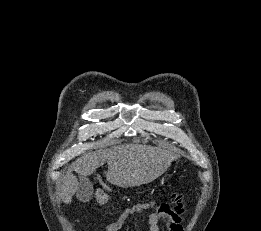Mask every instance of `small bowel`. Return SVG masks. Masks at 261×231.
<instances>
[{
  "instance_id": "c3829d8e",
  "label": "small bowel",
  "mask_w": 261,
  "mask_h": 231,
  "mask_svg": "<svg viewBox=\"0 0 261 231\" xmlns=\"http://www.w3.org/2000/svg\"><path fill=\"white\" fill-rule=\"evenodd\" d=\"M97 195L89 201L90 205H97L101 201ZM143 216L147 220L149 231H161L160 223H164L168 231H183L182 217L176 215L166 204L157 205L154 210H149L147 204H138L121 214L111 225L105 227L106 231H119L129 220Z\"/></svg>"
}]
</instances>
